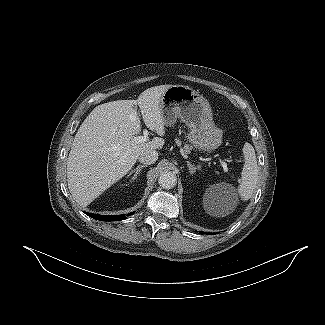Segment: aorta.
<instances>
[{"label": "aorta", "mask_w": 325, "mask_h": 325, "mask_svg": "<svg viewBox=\"0 0 325 325\" xmlns=\"http://www.w3.org/2000/svg\"><path fill=\"white\" fill-rule=\"evenodd\" d=\"M158 183L164 189H171L176 186L177 177L173 172L165 171L160 174Z\"/></svg>", "instance_id": "obj_1"}]
</instances>
